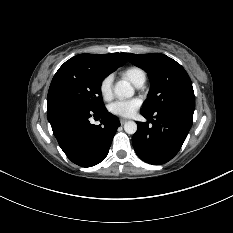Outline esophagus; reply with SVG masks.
<instances>
[{
	"mask_svg": "<svg viewBox=\"0 0 233 233\" xmlns=\"http://www.w3.org/2000/svg\"><path fill=\"white\" fill-rule=\"evenodd\" d=\"M128 120L125 118H120V123L123 125L124 123H126Z\"/></svg>",
	"mask_w": 233,
	"mask_h": 233,
	"instance_id": "esophagus-1",
	"label": "esophagus"
}]
</instances>
